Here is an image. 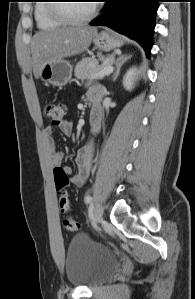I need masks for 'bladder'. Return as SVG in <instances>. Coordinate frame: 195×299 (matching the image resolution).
I'll return each mask as SVG.
<instances>
[{
  "label": "bladder",
  "instance_id": "31cf9c89",
  "mask_svg": "<svg viewBox=\"0 0 195 299\" xmlns=\"http://www.w3.org/2000/svg\"><path fill=\"white\" fill-rule=\"evenodd\" d=\"M117 268L113 254L93 242L86 234H77L69 243L65 273L72 285L91 287L107 279Z\"/></svg>",
  "mask_w": 195,
  "mask_h": 299
}]
</instances>
